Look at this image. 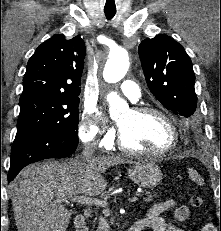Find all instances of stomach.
<instances>
[{
  "label": "stomach",
  "instance_id": "1",
  "mask_svg": "<svg viewBox=\"0 0 221 231\" xmlns=\"http://www.w3.org/2000/svg\"><path fill=\"white\" fill-rule=\"evenodd\" d=\"M128 175L135 184L144 188L156 187L163 178L159 166L149 160L135 162L128 170Z\"/></svg>",
  "mask_w": 221,
  "mask_h": 231
}]
</instances>
